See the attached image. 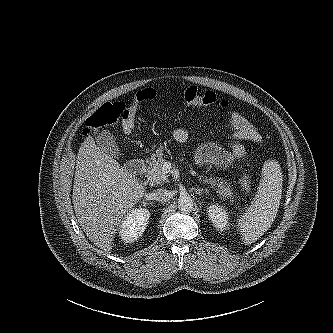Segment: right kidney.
I'll list each match as a JSON object with an SVG mask.
<instances>
[{"instance_id":"ca27d5eb","label":"right kidney","mask_w":333,"mask_h":333,"mask_svg":"<svg viewBox=\"0 0 333 333\" xmlns=\"http://www.w3.org/2000/svg\"><path fill=\"white\" fill-rule=\"evenodd\" d=\"M150 212L148 209H133L125 215L119 225V235L126 243L135 242L144 233Z\"/></svg>"}]
</instances>
